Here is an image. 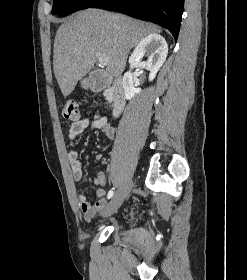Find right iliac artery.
<instances>
[{"mask_svg": "<svg viewBox=\"0 0 247 280\" xmlns=\"http://www.w3.org/2000/svg\"><path fill=\"white\" fill-rule=\"evenodd\" d=\"M113 194H114V190L113 188L108 192V195H107V198L110 199L113 197Z\"/></svg>", "mask_w": 247, "mask_h": 280, "instance_id": "obj_1", "label": "right iliac artery"}]
</instances>
